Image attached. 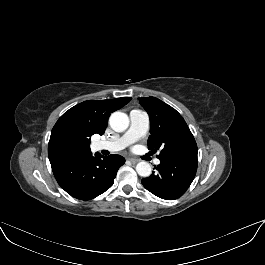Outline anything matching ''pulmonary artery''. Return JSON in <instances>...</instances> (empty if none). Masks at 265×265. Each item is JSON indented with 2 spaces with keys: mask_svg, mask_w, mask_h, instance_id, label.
Wrapping results in <instances>:
<instances>
[{
  "mask_svg": "<svg viewBox=\"0 0 265 265\" xmlns=\"http://www.w3.org/2000/svg\"><path fill=\"white\" fill-rule=\"evenodd\" d=\"M149 130V118L148 116L138 109H134L130 112V127L121 136L109 140H100L96 143L98 150L119 151L122 150L139 138L143 137ZM156 164H159L158 159L155 160Z\"/></svg>",
  "mask_w": 265,
  "mask_h": 265,
  "instance_id": "1",
  "label": "pulmonary artery"
}]
</instances>
